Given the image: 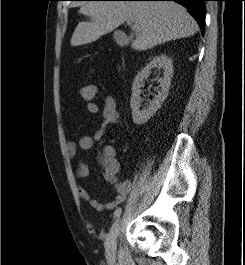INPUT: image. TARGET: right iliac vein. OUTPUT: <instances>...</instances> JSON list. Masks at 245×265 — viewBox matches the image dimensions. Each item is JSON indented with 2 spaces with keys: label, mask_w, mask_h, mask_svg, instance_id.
<instances>
[{
  "label": "right iliac vein",
  "mask_w": 245,
  "mask_h": 265,
  "mask_svg": "<svg viewBox=\"0 0 245 265\" xmlns=\"http://www.w3.org/2000/svg\"><path fill=\"white\" fill-rule=\"evenodd\" d=\"M122 221L117 219L112 225L105 241V253L108 261H115L116 258V241L121 229Z\"/></svg>",
  "instance_id": "right-iliac-vein-1"
}]
</instances>
